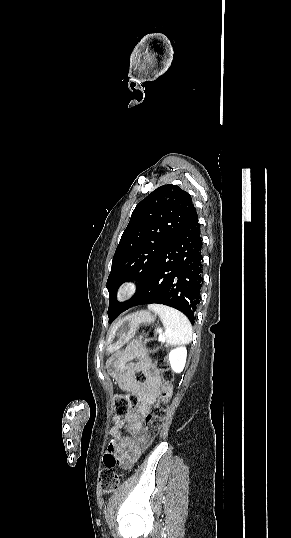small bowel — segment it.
Here are the masks:
<instances>
[{"instance_id": "1", "label": "small bowel", "mask_w": 291, "mask_h": 538, "mask_svg": "<svg viewBox=\"0 0 291 538\" xmlns=\"http://www.w3.org/2000/svg\"><path fill=\"white\" fill-rule=\"evenodd\" d=\"M129 354L139 357L140 367L147 375L146 384L140 385L134 381L132 368L122 364V354H111L105 367L108 376L115 378L123 391L131 393L139 401L136 409L118 420L110 430L111 441L107 451H112L122 469H130L152 443L153 437L144 429L142 419L155 403L161 385L158 371L150 365L138 345H132ZM123 429L130 436L124 435Z\"/></svg>"}]
</instances>
